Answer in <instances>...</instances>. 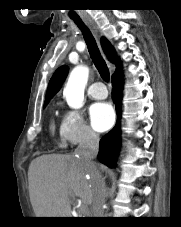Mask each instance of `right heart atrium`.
Returning <instances> with one entry per match:
<instances>
[{
	"mask_svg": "<svg viewBox=\"0 0 181 227\" xmlns=\"http://www.w3.org/2000/svg\"><path fill=\"white\" fill-rule=\"evenodd\" d=\"M62 139L71 145H84L98 140L97 133L86 123L78 110H67L60 125Z\"/></svg>",
	"mask_w": 181,
	"mask_h": 227,
	"instance_id": "obj_1",
	"label": "right heart atrium"
}]
</instances>
